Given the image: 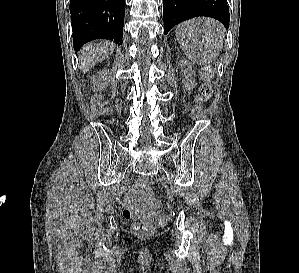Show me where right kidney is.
<instances>
[{"instance_id": "obj_1", "label": "right kidney", "mask_w": 299, "mask_h": 273, "mask_svg": "<svg viewBox=\"0 0 299 273\" xmlns=\"http://www.w3.org/2000/svg\"><path fill=\"white\" fill-rule=\"evenodd\" d=\"M108 74L107 70L100 71L97 75H95L92 79V88L93 90H96L100 87L101 81L105 78V76Z\"/></svg>"}]
</instances>
